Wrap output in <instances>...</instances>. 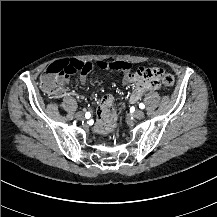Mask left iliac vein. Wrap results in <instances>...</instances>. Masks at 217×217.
<instances>
[{
    "instance_id": "1",
    "label": "left iliac vein",
    "mask_w": 217,
    "mask_h": 217,
    "mask_svg": "<svg viewBox=\"0 0 217 217\" xmlns=\"http://www.w3.org/2000/svg\"><path fill=\"white\" fill-rule=\"evenodd\" d=\"M133 116H134L136 119H143L144 116H145V113H144L142 110H136V111L133 113Z\"/></svg>"
}]
</instances>
